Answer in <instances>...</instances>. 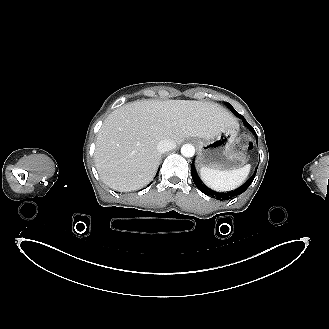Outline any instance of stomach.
Listing matches in <instances>:
<instances>
[{
  "label": "stomach",
  "mask_w": 329,
  "mask_h": 329,
  "mask_svg": "<svg viewBox=\"0 0 329 329\" xmlns=\"http://www.w3.org/2000/svg\"><path fill=\"white\" fill-rule=\"evenodd\" d=\"M239 125L236 124L217 136L198 141L199 152L196 159L198 167L217 171H230L242 168L248 161L238 137Z\"/></svg>",
  "instance_id": "0dacf381"
}]
</instances>
